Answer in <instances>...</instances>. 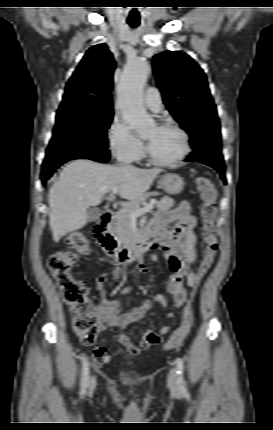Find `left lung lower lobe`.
I'll use <instances>...</instances> for the list:
<instances>
[{
    "instance_id": "1",
    "label": "left lung lower lobe",
    "mask_w": 273,
    "mask_h": 430,
    "mask_svg": "<svg viewBox=\"0 0 273 430\" xmlns=\"http://www.w3.org/2000/svg\"><path fill=\"white\" fill-rule=\"evenodd\" d=\"M184 161H197L215 168L226 183L221 141L205 139L201 145L193 148V152Z\"/></svg>"
}]
</instances>
